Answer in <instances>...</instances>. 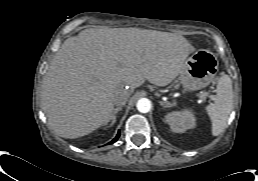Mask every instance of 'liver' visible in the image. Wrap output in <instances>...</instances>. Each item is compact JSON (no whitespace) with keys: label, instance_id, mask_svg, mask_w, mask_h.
I'll return each mask as SVG.
<instances>
[{"label":"liver","instance_id":"6515ba94","mask_svg":"<svg viewBox=\"0 0 258 181\" xmlns=\"http://www.w3.org/2000/svg\"><path fill=\"white\" fill-rule=\"evenodd\" d=\"M195 48L181 35L138 28L83 30L68 38L43 79L41 105L53 131L75 139L107 124L117 97L145 80L166 86Z\"/></svg>","mask_w":258,"mask_h":181}]
</instances>
